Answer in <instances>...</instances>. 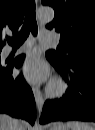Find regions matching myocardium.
Wrapping results in <instances>:
<instances>
[{
	"label": "myocardium",
	"mask_w": 95,
	"mask_h": 130,
	"mask_svg": "<svg viewBox=\"0 0 95 130\" xmlns=\"http://www.w3.org/2000/svg\"><path fill=\"white\" fill-rule=\"evenodd\" d=\"M67 90L65 82L60 78H54L46 89V93L51 98L62 97Z\"/></svg>",
	"instance_id": "obj_1"
}]
</instances>
